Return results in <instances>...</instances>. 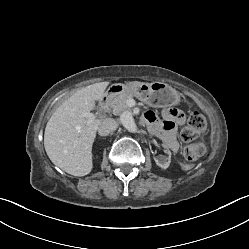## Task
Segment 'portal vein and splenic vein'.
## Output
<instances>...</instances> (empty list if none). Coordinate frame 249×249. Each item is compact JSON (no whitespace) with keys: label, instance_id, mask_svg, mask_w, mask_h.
<instances>
[{"label":"portal vein and splenic vein","instance_id":"portal-vein-and-splenic-vein-1","mask_svg":"<svg viewBox=\"0 0 249 249\" xmlns=\"http://www.w3.org/2000/svg\"><path fill=\"white\" fill-rule=\"evenodd\" d=\"M83 117L87 118V123L90 124L96 119L97 115L90 113V112H85L83 114Z\"/></svg>","mask_w":249,"mask_h":249}]
</instances>
